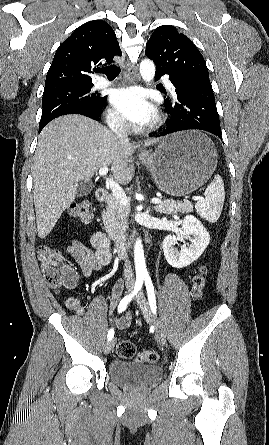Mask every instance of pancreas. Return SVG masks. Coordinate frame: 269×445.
Segmentation results:
<instances>
[{"instance_id": "obj_1", "label": "pancreas", "mask_w": 269, "mask_h": 445, "mask_svg": "<svg viewBox=\"0 0 269 445\" xmlns=\"http://www.w3.org/2000/svg\"><path fill=\"white\" fill-rule=\"evenodd\" d=\"M106 204V209L102 212L105 230L113 241L122 243L125 240L129 208L120 204L113 193L108 195ZM155 209L156 212L161 214L188 213L193 211V205L188 201L182 203L173 200H164L158 204Z\"/></svg>"}]
</instances>
